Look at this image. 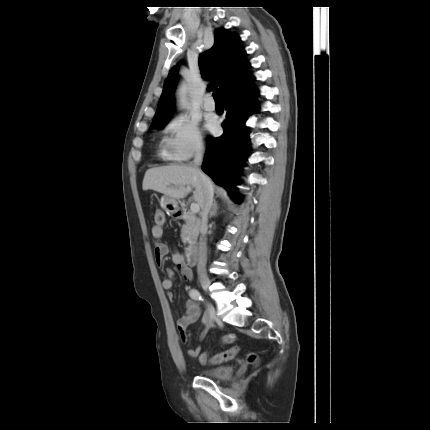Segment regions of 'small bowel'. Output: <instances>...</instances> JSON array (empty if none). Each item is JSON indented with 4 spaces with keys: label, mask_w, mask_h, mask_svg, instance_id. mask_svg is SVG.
I'll use <instances>...</instances> for the list:
<instances>
[{
    "label": "small bowel",
    "mask_w": 430,
    "mask_h": 430,
    "mask_svg": "<svg viewBox=\"0 0 430 430\" xmlns=\"http://www.w3.org/2000/svg\"><path fill=\"white\" fill-rule=\"evenodd\" d=\"M152 237L156 240L155 246H154V252H155V261L158 266H162L164 262L165 256L170 252V249L168 245L161 242L160 239L163 236V229L161 226L155 225L151 229ZM171 260L176 265L177 269L182 274L183 278L187 281H191L193 278V273L191 269H189L185 262L184 258L181 252L174 250L171 253ZM167 275L168 277L162 280V287L164 290L167 291V296L169 299L173 298V293L171 292V289L173 288L174 284V277H175V270L172 268L167 269ZM185 309L186 313L181 316L177 321V327L178 331L180 333V336L184 342L188 341V334L187 329L188 327L195 323L199 316H200V305L198 302H196L194 299H189L185 303ZM210 329V323L208 319L205 317L203 320V326L202 331L200 333L199 339H203ZM201 353V346L196 347L195 349L188 350V356L190 358H196Z\"/></svg>",
    "instance_id": "1"
}]
</instances>
